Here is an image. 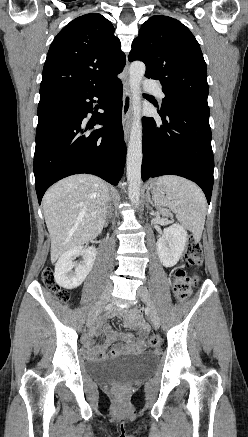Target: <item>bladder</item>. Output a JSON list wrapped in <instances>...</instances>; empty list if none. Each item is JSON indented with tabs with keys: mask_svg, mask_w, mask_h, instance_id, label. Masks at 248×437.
<instances>
[{
	"mask_svg": "<svg viewBox=\"0 0 248 437\" xmlns=\"http://www.w3.org/2000/svg\"><path fill=\"white\" fill-rule=\"evenodd\" d=\"M156 360L157 355L151 352L125 354L91 362L88 366V374L92 379L99 382H129L150 372Z\"/></svg>",
	"mask_w": 248,
	"mask_h": 437,
	"instance_id": "bladder-1",
	"label": "bladder"
}]
</instances>
